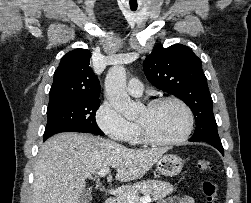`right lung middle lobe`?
Here are the masks:
<instances>
[{
	"instance_id": "1",
	"label": "right lung middle lobe",
	"mask_w": 251,
	"mask_h": 203,
	"mask_svg": "<svg viewBox=\"0 0 251 203\" xmlns=\"http://www.w3.org/2000/svg\"><path fill=\"white\" fill-rule=\"evenodd\" d=\"M100 100L81 99L47 108L48 122L43 139L60 132H83L104 135L98 127L95 114Z\"/></svg>"
}]
</instances>
